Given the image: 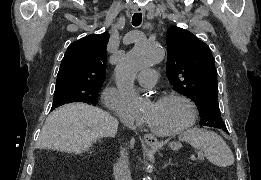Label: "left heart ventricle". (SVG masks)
<instances>
[{"label":"left heart ventricle","mask_w":261,"mask_h":180,"mask_svg":"<svg viewBox=\"0 0 261 180\" xmlns=\"http://www.w3.org/2000/svg\"><path fill=\"white\" fill-rule=\"evenodd\" d=\"M141 111L145 112L143 122L148 131L155 136L177 133L183 127L188 108L176 98L146 99Z\"/></svg>","instance_id":"b2bd125f"}]
</instances>
